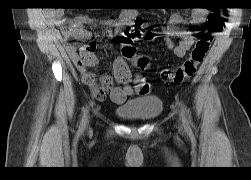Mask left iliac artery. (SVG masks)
I'll return each mask as SVG.
<instances>
[{
  "mask_svg": "<svg viewBox=\"0 0 251 180\" xmlns=\"http://www.w3.org/2000/svg\"><path fill=\"white\" fill-rule=\"evenodd\" d=\"M181 108H182V113H184L186 115V117L188 118V120L190 121V114H189V110L187 109V107L184 104H181Z\"/></svg>",
  "mask_w": 251,
  "mask_h": 180,
  "instance_id": "obj_1",
  "label": "left iliac artery"
}]
</instances>
